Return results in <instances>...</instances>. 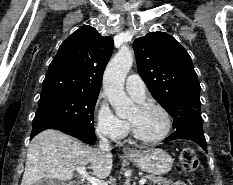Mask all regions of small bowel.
Here are the masks:
<instances>
[{"label":"small bowel","instance_id":"small-bowel-1","mask_svg":"<svg viewBox=\"0 0 233 185\" xmlns=\"http://www.w3.org/2000/svg\"><path fill=\"white\" fill-rule=\"evenodd\" d=\"M173 185H187V184L183 181H176L173 183Z\"/></svg>","mask_w":233,"mask_h":185}]
</instances>
